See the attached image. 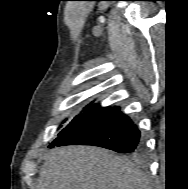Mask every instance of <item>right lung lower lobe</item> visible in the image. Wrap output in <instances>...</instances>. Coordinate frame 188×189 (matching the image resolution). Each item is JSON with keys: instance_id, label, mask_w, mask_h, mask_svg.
<instances>
[{"instance_id": "1", "label": "right lung lower lobe", "mask_w": 188, "mask_h": 189, "mask_svg": "<svg viewBox=\"0 0 188 189\" xmlns=\"http://www.w3.org/2000/svg\"><path fill=\"white\" fill-rule=\"evenodd\" d=\"M93 145L119 153L137 154L143 151L141 133L119 107L94 105L49 147Z\"/></svg>"}]
</instances>
